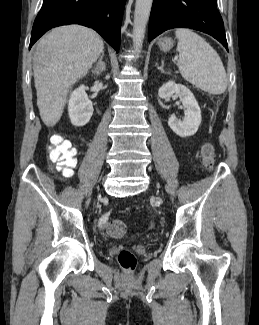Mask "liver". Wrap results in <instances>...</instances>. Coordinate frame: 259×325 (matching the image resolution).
<instances>
[{
  "label": "liver",
  "instance_id": "6515ba94",
  "mask_svg": "<svg viewBox=\"0 0 259 325\" xmlns=\"http://www.w3.org/2000/svg\"><path fill=\"white\" fill-rule=\"evenodd\" d=\"M103 49L100 35L81 25L57 27L40 39L33 71L37 106L46 126L60 120L69 89L88 73Z\"/></svg>",
  "mask_w": 259,
  "mask_h": 325
}]
</instances>
